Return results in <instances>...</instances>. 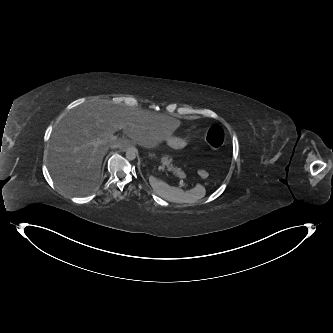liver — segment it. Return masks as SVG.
Masks as SVG:
<instances>
[{
	"mask_svg": "<svg viewBox=\"0 0 333 333\" xmlns=\"http://www.w3.org/2000/svg\"><path fill=\"white\" fill-rule=\"evenodd\" d=\"M123 126L122 136L105 139ZM180 121L164 114L143 110L131 103L91 99L71 110L57 125L48 147V165L55 183L74 195L95 190L101 182V164L109 147L130 142L155 148L170 137ZM101 144L94 145L97 140Z\"/></svg>",
	"mask_w": 333,
	"mask_h": 333,
	"instance_id": "1",
	"label": "liver"
}]
</instances>
